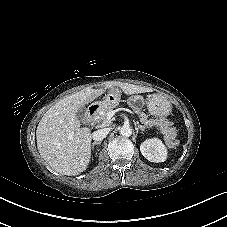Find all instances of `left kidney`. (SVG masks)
I'll use <instances>...</instances> for the list:
<instances>
[{"label": "left kidney", "mask_w": 227, "mask_h": 227, "mask_svg": "<svg viewBox=\"0 0 227 227\" xmlns=\"http://www.w3.org/2000/svg\"><path fill=\"white\" fill-rule=\"evenodd\" d=\"M140 151L150 162H164L167 158L166 146L157 138L146 139L140 145Z\"/></svg>", "instance_id": "obj_1"}]
</instances>
